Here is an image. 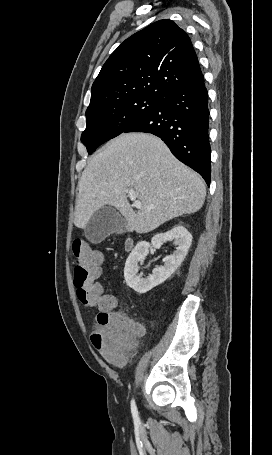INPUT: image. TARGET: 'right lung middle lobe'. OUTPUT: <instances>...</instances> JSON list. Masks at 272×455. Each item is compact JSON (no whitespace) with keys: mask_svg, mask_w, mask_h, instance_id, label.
<instances>
[{"mask_svg":"<svg viewBox=\"0 0 272 455\" xmlns=\"http://www.w3.org/2000/svg\"><path fill=\"white\" fill-rule=\"evenodd\" d=\"M163 97L138 95L119 99L86 111V129L81 136L89 154L102 143L125 132L156 110Z\"/></svg>","mask_w":272,"mask_h":455,"instance_id":"right-lung-middle-lobe-1","label":"right lung middle lobe"}]
</instances>
